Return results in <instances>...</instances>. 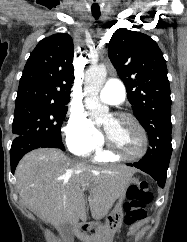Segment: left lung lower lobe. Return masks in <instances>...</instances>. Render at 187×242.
<instances>
[{"instance_id": "0a47b994", "label": "left lung lower lobe", "mask_w": 187, "mask_h": 242, "mask_svg": "<svg viewBox=\"0 0 187 242\" xmlns=\"http://www.w3.org/2000/svg\"><path fill=\"white\" fill-rule=\"evenodd\" d=\"M129 166H134L149 175H151L158 183L161 188H164L167 169L169 162L155 161V162H143L139 161L137 163L128 164Z\"/></svg>"}]
</instances>
